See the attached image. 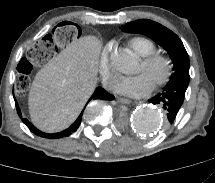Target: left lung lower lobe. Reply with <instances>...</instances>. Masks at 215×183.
I'll return each mask as SVG.
<instances>
[{
    "label": "left lung lower lobe",
    "mask_w": 215,
    "mask_h": 183,
    "mask_svg": "<svg viewBox=\"0 0 215 183\" xmlns=\"http://www.w3.org/2000/svg\"><path fill=\"white\" fill-rule=\"evenodd\" d=\"M188 84L181 81H169L160 93L149 99L152 104L163 107L168 121L172 124L184 101Z\"/></svg>",
    "instance_id": "obj_1"
}]
</instances>
